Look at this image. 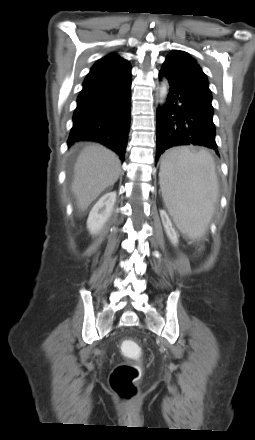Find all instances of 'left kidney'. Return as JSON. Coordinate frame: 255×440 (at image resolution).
Instances as JSON below:
<instances>
[{
	"label": "left kidney",
	"mask_w": 255,
	"mask_h": 440,
	"mask_svg": "<svg viewBox=\"0 0 255 440\" xmlns=\"http://www.w3.org/2000/svg\"><path fill=\"white\" fill-rule=\"evenodd\" d=\"M163 216L166 219V221L164 223V227H165L166 233H167L169 239L171 240V242L176 244L178 242L176 232L173 229L172 224H171L170 220L168 219L167 215L163 214Z\"/></svg>",
	"instance_id": "1"
}]
</instances>
